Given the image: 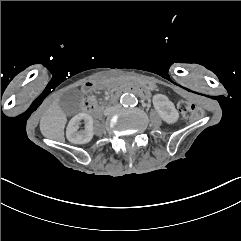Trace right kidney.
<instances>
[{"mask_svg": "<svg viewBox=\"0 0 241 241\" xmlns=\"http://www.w3.org/2000/svg\"><path fill=\"white\" fill-rule=\"evenodd\" d=\"M86 122V130L78 131L81 121ZM93 117L86 113L75 115L68 123L66 128L67 140L72 144H87L94 136Z\"/></svg>", "mask_w": 241, "mask_h": 241, "instance_id": "ca27d5eb", "label": "right kidney"}]
</instances>
